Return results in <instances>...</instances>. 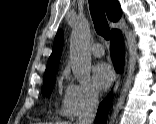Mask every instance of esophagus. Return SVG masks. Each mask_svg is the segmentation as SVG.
<instances>
[{"instance_id":"esophagus-1","label":"esophagus","mask_w":156,"mask_h":124,"mask_svg":"<svg viewBox=\"0 0 156 124\" xmlns=\"http://www.w3.org/2000/svg\"><path fill=\"white\" fill-rule=\"evenodd\" d=\"M119 83H120V75H117V78L115 80V85H114V88H113V92L117 91Z\"/></svg>"}]
</instances>
